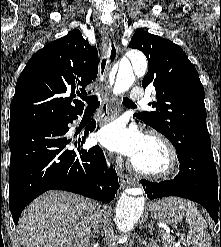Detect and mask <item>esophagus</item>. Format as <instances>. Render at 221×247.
Wrapping results in <instances>:
<instances>
[{
  "mask_svg": "<svg viewBox=\"0 0 221 247\" xmlns=\"http://www.w3.org/2000/svg\"><path fill=\"white\" fill-rule=\"evenodd\" d=\"M102 44L103 52L99 62V71H98V83L99 88L102 92V111L105 118H108V82L107 76L109 69L113 62L118 56V48L116 45L113 28L110 24L103 25L102 30ZM121 183L123 185H135L136 180L129 175L121 176Z\"/></svg>",
  "mask_w": 221,
  "mask_h": 247,
  "instance_id": "esophagus-1",
  "label": "esophagus"
}]
</instances>
